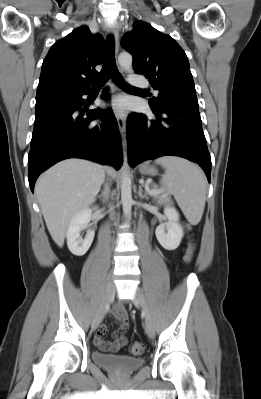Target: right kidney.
Segmentation results:
<instances>
[{
  "instance_id": "ca27d5eb",
  "label": "right kidney",
  "mask_w": 261,
  "mask_h": 399,
  "mask_svg": "<svg viewBox=\"0 0 261 399\" xmlns=\"http://www.w3.org/2000/svg\"><path fill=\"white\" fill-rule=\"evenodd\" d=\"M96 209L97 207L92 209L85 208L75 214L69 222L66 232L67 246L70 252L76 256H83L93 242L95 235L93 230H87L84 239L81 238L80 232L87 228L91 220L92 212Z\"/></svg>"
}]
</instances>
